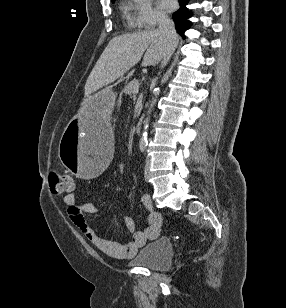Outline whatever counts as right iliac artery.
<instances>
[{
  "label": "right iliac artery",
  "mask_w": 286,
  "mask_h": 308,
  "mask_svg": "<svg viewBox=\"0 0 286 308\" xmlns=\"http://www.w3.org/2000/svg\"><path fill=\"white\" fill-rule=\"evenodd\" d=\"M141 152H144L146 150V146H140Z\"/></svg>",
  "instance_id": "obj_1"
}]
</instances>
